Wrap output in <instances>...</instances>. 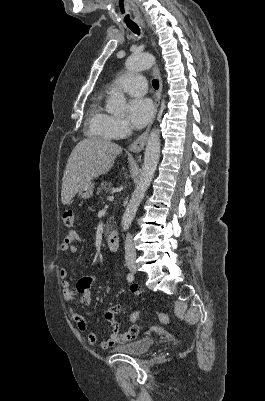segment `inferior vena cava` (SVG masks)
<instances>
[{"mask_svg":"<svg viewBox=\"0 0 265 401\" xmlns=\"http://www.w3.org/2000/svg\"><path fill=\"white\" fill-rule=\"evenodd\" d=\"M125 257L126 259H136V251L134 249L132 235H127L125 241Z\"/></svg>","mask_w":265,"mask_h":401,"instance_id":"602c4592","label":"inferior vena cava"}]
</instances>
